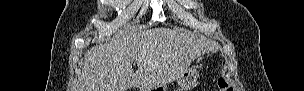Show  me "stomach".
<instances>
[{"label":"stomach","instance_id":"obj_1","mask_svg":"<svg viewBox=\"0 0 304 91\" xmlns=\"http://www.w3.org/2000/svg\"><path fill=\"white\" fill-rule=\"evenodd\" d=\"M201 68V59H194L193 63L189 65L177 79L180 91H189L196 85L199 77L198 70ZM154 90L167 91V88L166 86H159Z\"/></svg>","mask_w":304,"mask_h":91}]
</instances>
